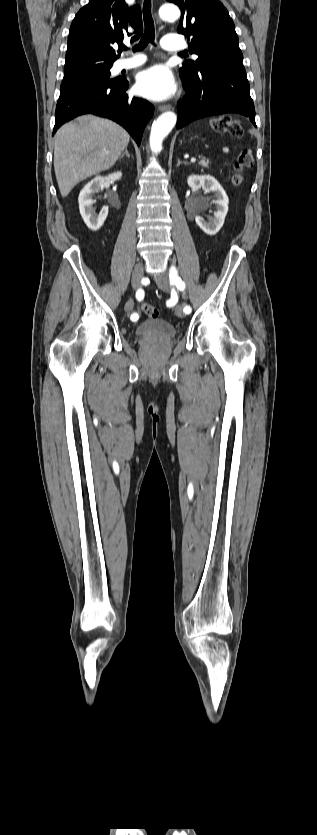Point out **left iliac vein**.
<instances>
[{
    "instance_id": "left-iliac-vein-1",
    "label": "left iliac vein",
    "mask_w": 317,
    "mask_h": 835,
    "mask_svg": "<svg viewBox=\"0 0 317 835\" xmlns=\"http://www.w3.org/2000/svg\"><path fill=\"white\" fill-rule=\"evenodd\" d=\"M156 284L158 285V287L161 290H163L165 292H168L170 290L169 279H168V276L166 274H162V275L158 276L156 278ZM175 313L179 318L185 317V313H184L183 307L181 305L176 306Z\"/></svg>"
}]
</instances>
